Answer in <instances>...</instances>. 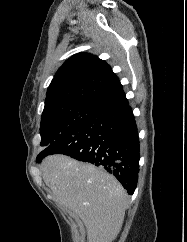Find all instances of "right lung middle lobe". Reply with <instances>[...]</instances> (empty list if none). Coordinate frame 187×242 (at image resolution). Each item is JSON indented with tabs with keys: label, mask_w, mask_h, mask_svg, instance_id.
Here are the masks:
<instances>
[{
	"label": "right lung middle lobe",
	"mask_w": 187,
	"mask_h": 242,
	"mask_svg": "<svg viewBox=\"0 0 187 242\" xmlns=\"http://www.w3.org/2000/svg\"><path fill=\"white\" fill-rule=\"evenodd\" d=\"M103 107L74 103L58 106L42 113L41 146H49L58 138L96 117Z\"/></svg>",
	"instance_id": "right-lung-middle-lobe-1"
}]
</instances>
